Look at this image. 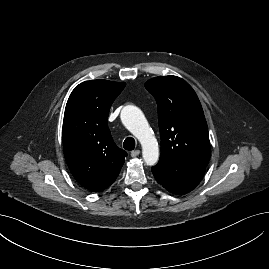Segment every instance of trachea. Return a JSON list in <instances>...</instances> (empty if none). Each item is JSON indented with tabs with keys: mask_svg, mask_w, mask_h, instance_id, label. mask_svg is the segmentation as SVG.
Returning <instances> with one entry per match:
<instances>
[{
	"mask_svg": "<svg viewBox=\"0 0 269 269\" xmlns=\"http://www.w3.org/2000/svg\"><path fill=\"white\" fill-rule=\"evenodd\" d=\"M123 147L125 150L131 151L135 148V140L132 137H127L124 140Z\"/></svg>",
	"mask_w": 269,
	"mask_h": 269,
	"instance_id": "3493384b",
	"label": "trachea"
}]
</instances>
